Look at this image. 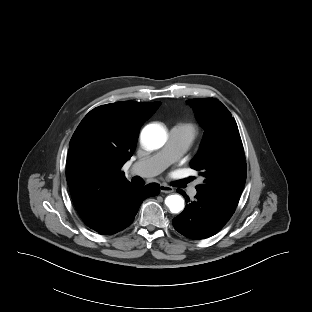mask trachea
<instances>
[{
    "label": "trachea",
    "mask_w": 312,
    "mask_h": 312,
    "mask_svg": "<svg viewBox=\"0 0 312 312\" xmlns=\"http://www.w3.org/2000/svg\"><path fill=\"white\" fill-rule=\"evenodd\" d=\"M132 182L137 183V184H142V179L139 178L138 176H135L132 178Z\"/></svg>",
    "instance_id": "trachea-1"
}]
</instances>
